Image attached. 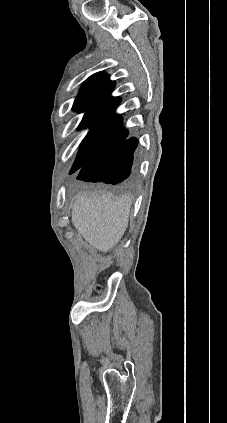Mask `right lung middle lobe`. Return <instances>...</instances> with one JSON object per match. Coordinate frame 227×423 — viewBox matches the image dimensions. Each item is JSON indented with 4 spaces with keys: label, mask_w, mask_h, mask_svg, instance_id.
<instances>
[{
    "label": "right lung middle lobe",
    "mask_w": 227,
    "mask_h": 423,
    "mask_svg": "<svg viewBox=\"0 0 227 423\" xmlns=\"http://www.w3.org/2000/svg\"><path fill=\"white\" fill-rule=\"evenodd\" d=\"M92 156L93 155L78 154L70 173H74L76 170L80 169Z\"/></svg>",
    "instance_id": "dd1d6c3e"
}]
</instances>
